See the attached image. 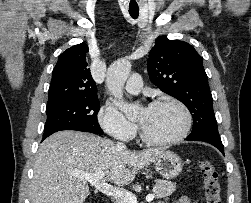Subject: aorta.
I'll return each instance as SVG.
<instances>
[{
  "mask_svg": "<svg viewBox=\"0 0 251 203\" xmlns=\"http://www.w3.org/2000/svg\"><path fill=\"white\" fill-rule=\"evenodd\" d=\"M131 71V63L126 60L115 61L107 70L106 84L114 97V104L127 118L137 115L139 107L129 104L123 98V87Z\"/></svg>",
  "mask_w": 251,
  "mask_h": 203,
  "instance_id": "obj_1",
  "label": "aorta"
}]
</instances>
